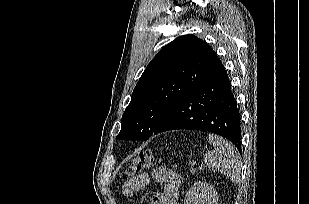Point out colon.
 Masks as SVG:
<instances>
[{"instance_id":"obj_1","label":"colon","mask_w":309,"mask_h":204,"mask_svg":"<svg viewBox=\"0 0 309 204\" xmlns=\"http://www.w3.org/2000/svg\"><path fill=\"white\" fill-rule=\"evenodd\" d=\"M155 162V155L152 151L146 150L139 153L129 164L122 177L124 180H130L134 176L143 173L146 169L151 167Z\"/></svg>"}]
</instances>
